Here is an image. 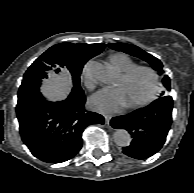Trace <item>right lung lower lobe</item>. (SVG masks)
I'll return each mask as SVG.
<instances>
[{
	"label": "right lung lower lobe",
	"instance_id": "1",
	"mask_svg": "<svg viewBox=\"0 0 194 193\" xmlns=\"http://www.w3.org/2000/svg\"><path fill=\"white\" fill-rule=\"evenodd\" d=\"M84 93L50 103L42 98L17 104L21 138L44 162L61 163L82 147V133L90 124H103L102 115L85 110Z\"/></svg>",
	"mask_w": 194,
	"mask_h": 193
}]
</instances>
